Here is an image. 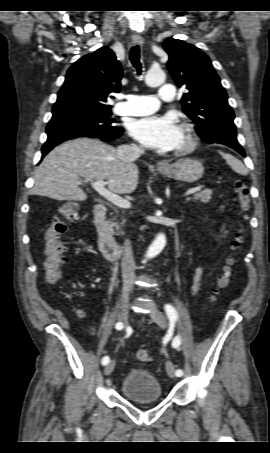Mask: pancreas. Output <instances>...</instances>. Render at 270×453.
Wrapping results in <instances>:
<instances>
[{
  "label": "pancreas",
  "mask_w": 270,
  "mask_h": 453,
  "mask_svg": "<svg viewBox=\"0 0 270 453\" xmlns=\"http://www.w3.org/2000/svg\"><path fill=\"white\" fill-rule=\"evenodd\" d=\"M213 194V190L211 189H205L199 193L194 194L192 197L188 198V200L191 201H200L201 203H208L211 200V196ZM125 219H122V224H119L118 221H116V218L113 219V221H110V227L115 228L117 234H121L122 230L121 227L124 226Z\"/></svg>",
  "instance_id": "cf45deb5"
}]
</instances>
